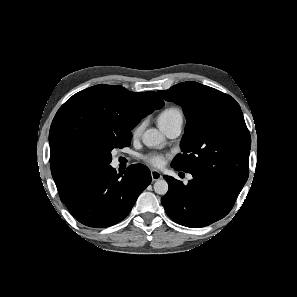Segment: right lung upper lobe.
Wrapping results in <instances>:
<instances>
[{
	"label": "right lung upper lobe",
	"mask_w": 297,
	"mask_h": 297,
	"mask_svg": "<svg viewBox=\"0 0 297 297\" xmlns=\"http://www.w3.org/2000/svg\"><path fill=\"white\" fill-rule=\"evenodd\" d=\"M163 106L155 92H129L119 85H96L69 98L49 132L51 173L60 197L99 169L96 153L102 143L131 134L142 118Z\"/></svg>",
	"instance_id": "obj_1"
}]
</instances>
